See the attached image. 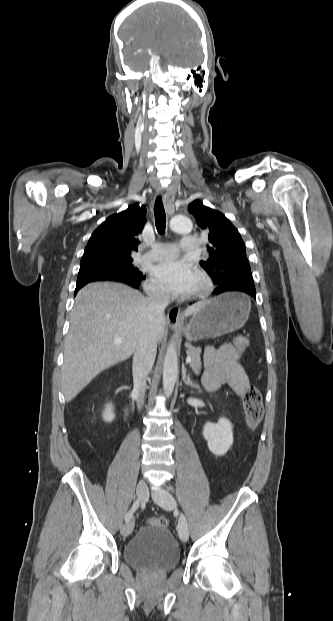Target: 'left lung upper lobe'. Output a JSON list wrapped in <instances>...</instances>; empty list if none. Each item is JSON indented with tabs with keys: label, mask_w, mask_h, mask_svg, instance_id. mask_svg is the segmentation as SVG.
Segmentation results:
<instances>
[{
	"label": "left lung upper lobe",
	"mask_w": 333,
	"mask_h": 621,
	"mask_svg": "<svg viewBox=\"0 0 333 621\" xmlns=\"http://www.w3.org/2000/svg\"><path fill=\"white\" fill-rule=\"evenodd\" d=\"M188 211L208 234V258L201 261L200 265L217 288L232 281L254 283L245 244L238 230L225 215L203 205L199 200L190 203Z\"/></svg>",
	"instance_id": "obj_1"
}]
</instances>
